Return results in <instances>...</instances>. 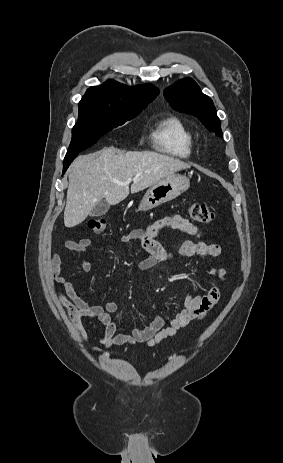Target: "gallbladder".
<instances>
[{
    "label": "gallbladder",
    "instance_id": "1",
    "mask_svg": "<svg viewBox=\"0 0 283 463\" xmlns=\"http://www.w3.org/2000/svg\"><path fill=\"white\" fill-rule=\"evenodd\" d=\"M110 208V204L106 200H100L90 212V216L98 217L105 215Z\"/></svg>",
    "mask_w": 283,
    "mask_h": 463
}]
</instances>
